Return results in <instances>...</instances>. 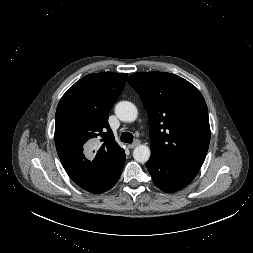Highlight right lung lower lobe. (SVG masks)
Listing matches in <instances>:
<instances>
[{"mask_svg":"<svg viewBox=\"0 0 253 253\" xmlns=\"http://www.w3.org/2000/svg\"><path fill=\"white\" fill-rule=\"evenodd\" d=\"M124 163H125V157L121 160V162L116 167V169L111 174V176L108 178V180L105 183H103L101 186H99L97 189H95L92 193H96V194L103 193V192L111 189L118 181V179L122 173Z\"/></svg>","mask_w":253,"mask_h":253,"instance_id":"right-lung-lower-lobe-1","label":"right lung lower lobe"}]
</instances>
